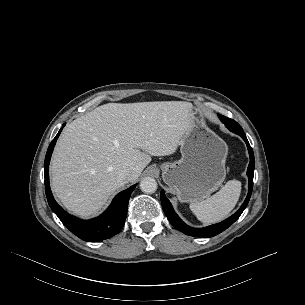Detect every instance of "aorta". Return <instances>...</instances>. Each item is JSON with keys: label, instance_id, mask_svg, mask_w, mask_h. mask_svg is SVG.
Segmentation results:
<instances>
[{"label": "aorta", "instance_id": "obj_1", "mask_svg": "<svg viewBox=\"0 0 305 305\" xmlns=\"http://www.w3.org/2000/svg\"><path fill=\"white\" fill-rule=\"evenodd\" d=\"M140 189L145 193H154L157 190V182L152 177H144L140 182Z\"/></svg>", "mask_w": 305, "mask_h": 305}]
</instances>
